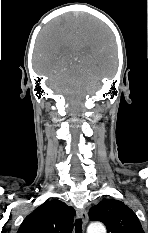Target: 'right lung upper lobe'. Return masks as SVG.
Instances as JSON below:
<instances>
[{
	"label": "right lung upper lobe",
	"mask_w": 148,
	"mask_h": 233,
	"mask_svg": "<svg viewBox=\"0 0 148 233\" xmlns=\"http://www.w3.org/2000/svg\"><path fill=\"white\" fill-rule=\"evenodd\" d=\"M75 214L62 201H46L24 219L17 233H71Z\"/></svg>",
	"instance_id": "obj_1"
}]
</instances>
